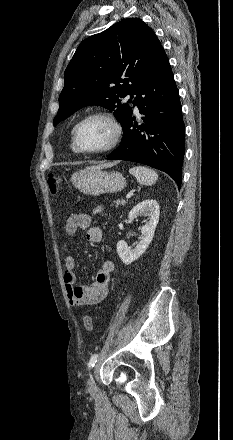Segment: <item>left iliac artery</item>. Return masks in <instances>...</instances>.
Instances as JSON below:
<instances>
[{
	"label": "left iliac artery",
	"mask_w": 233,
	"mask_h": 440,
	"mask_svg": "<svg viewBox=\"0 0 233 440\" xmlns=\"http://www.w3.org/2000/svg\"><path fill=\"white\" fill-rule=\"evenodd\" d=\"M98 354H93L89 360L88 363V369H91L94 367L95 363L97 362Z\"/></svg>",
	"instance_id": "left-iliac-artery-1"
}]
</instances>
